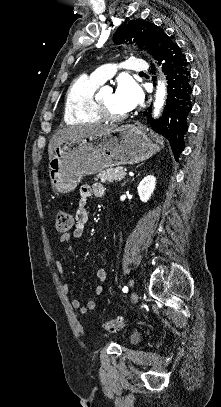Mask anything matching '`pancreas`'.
<instances>
[{
	"mask_svg": "<svg viewBox=\"0 0 221 407\" xmlns=\"http://www.w3.org/2000/svg\"><path fill=\"white\" fill-rule=\"evenodd\" d=\"M126 171L125 168L123 167H117V168H108L106 170L100 171L97 176L94 178V180L100 179L101 182L105 183H113L115 181H119L123 178L124 175H122V172Z\"/></svg>",
	"mask_w": 221,
	"mask_h": 407,
	"instance_id": "1",
	"label": "pancreas"
}]
</instances>
